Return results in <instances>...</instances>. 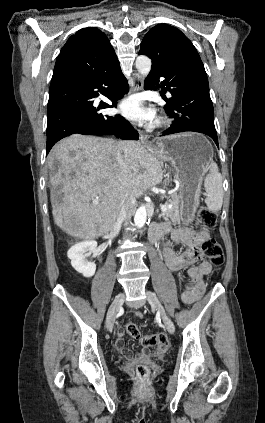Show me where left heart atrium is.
<instances>
[{
  "mask_svg": "<svg viewBox=\"0 0 265 423\" xmlns=\"http://www.w3.org/2000/svg\"><path fill=\"white\" fill-rule=\"evenodd\" d=\"M119 112L137 122H152L155 116L153 109L143 106L138 97H131L119 105Z\"/></svg>",
  "mask_w": 265,
  "mask_h": 423,
  "instance_id": "left-heart-atrium-1",
  "label": "left heart atrium"
}]
</instances>
